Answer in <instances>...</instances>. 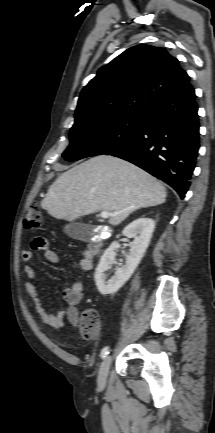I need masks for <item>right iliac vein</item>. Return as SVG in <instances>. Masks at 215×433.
Here are the masks:
<instances>
[{
  "label": "right iliac vein",
  "mask_w": 215,
  "mask_h": 433,
  "mask_svg": "<svg viewBox=\"0 0 215 433\" xmlns=\"http://www.w3.org/2000/svg\"><path fill=\"white\" fill-rule=\"evenodd\" d=\"M111 361H112L111 356H107L100 366V370L98 373L99 386H104L106 384Z\"/></svg>",
  "instance_id": "right-iliac-vein-1"
}]
</instances>
